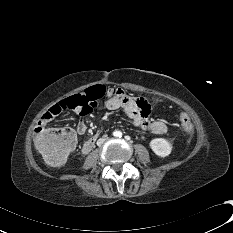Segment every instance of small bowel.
Listing matches in <instances>:
<instances>
[{
	"mask_svg": "<svg viewBox=\"0 0 233 233\" xmlns=\"http://www.w3.org/2000/svg\"><path fill=\"white\" fill-rule=\"evenodd\" d=\"M97 109L123 111L133 122L135 126L141 127L148 133L161 136L167 132V125L160 120L149 119L153 114V107L149 101L142 97H136L132 93L126 92L119 87H111L109 92L102 97L98 103ZM64 111L63 101L58 104L52 105L41 116L37 123L36 129H45L50 121L57 117ZM90 112V111H89ZM89 112L78 111L77 113L82 117ZM87 130V126L84 121H80L77 125L76 132L80 135L84 134ZM73 132V131H72ZM97 140V136H93L88 139L82 147V152L87 154L94 147Z\"/></svg>",
	"mask_w": 233,
	"mask_h": 233,
	"instance_id": "1",
	"label": "small bowel"
}]
</instances>
